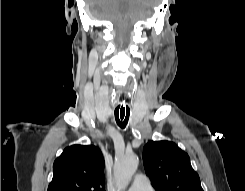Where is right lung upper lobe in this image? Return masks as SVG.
<instances>
[{"label":"right lung upper lobe","instance_id":"right-lung-upper-lobe-1","mask_svg":"<svg viewBox=\"0 0 245 191\" xmlns=\"http://www.w3.org/2000/svg\"><path fill=\"white\" fill-rule=\"evenodd\" d=\"M104 160L95 146L73 145L64 149L53 165L48 191H105Z\"/></svg>","mask_w":245,"mask_h":191}]
</instances>
